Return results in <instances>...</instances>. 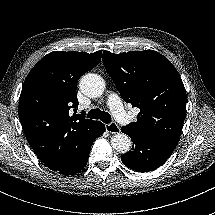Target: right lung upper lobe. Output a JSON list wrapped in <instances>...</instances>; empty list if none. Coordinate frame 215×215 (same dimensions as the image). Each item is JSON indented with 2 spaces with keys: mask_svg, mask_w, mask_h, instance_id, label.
<instances>
[{
  "mask_svg": "<svg viewBox=\"0 0 215 215\" xmlns=\"http://www.w3.org/2000/svg\"><path fill=\"white\" fill-rule=\"evenodd\" d=\"M102 51H54L44 56L29 72L19 98V119L25 136L50 169L61 166L68 155L69 139L94 121L82 114L69 115L77 108L79 78L97 66Z\"/></svg>",
  "mask_w": 215,
  "mask_h": 215,
  "instance_id": "cb5924a9",
  "label": "right lung upper lobe"
}]
</instances>
